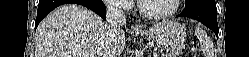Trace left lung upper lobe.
I'll return each mask as SVG.
<instances>
[{
	"mask_svg": "<svg viewBox=\"0 0 249 57\" xmlns=\"http://www.w3.org/2000/svg\"><path fill=\"white\" fill-rule=\"evenodd\" d=\"M191 1H193V0H185V3H189V2H191Z\"/></svg>",
	"mask_w": 249,
	"mask_h": 57,
	"instance_id": "left-lung-upper-lobe-1",
	"label": "left lung upper lobe"
}]
</instances>
